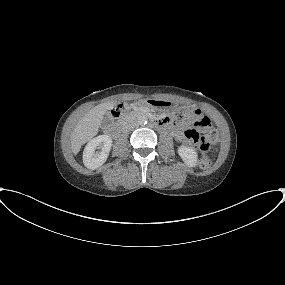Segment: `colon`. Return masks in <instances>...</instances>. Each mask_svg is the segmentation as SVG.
<instances>
[{
  "instance_id": "obj_1",
  "label": "colon",
  "mask_w": 285,
  "mask_h": 285,
  "mask_svg": "<svg viewBox=\"0 0 285 285\" xmlns=\"http://www.w3.org/2000/svg\"><path fill=\"white\" fill-rule=\"evenodd\" d=\"M178 118H184L193 123L196 128H190L185 132V138L188 142L198 145L202 151L199 165L202 169H208L212 164V159L207 155L211 144L217 141V132L215 130H204L210 126V119L203 114H196L194 110H188L184 114H177Z\"/></svg>"
}]
</instances>
